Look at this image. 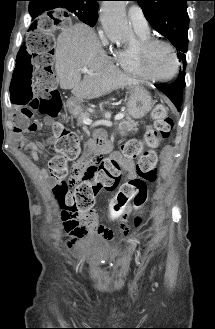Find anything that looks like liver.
Returning <instances> with one entry per match:
<instances>
[{"label":"liver","mask_w":215,"mask_h":329,"mask_svg":"<svg viewBox=\"0 0 215 329\" xmlns=\"http://www.w3.org/2000/svg\"><path fill=\"white\" fill-rule=\"evenodd\" d=\"M87 67L81 80V68ZM55 71L62 89L78 99H94L140 81L119 71L104 55L94 31L83 23L64 29L55 47Z\"/></svg>","instance_id":"liver-1"}]
</instances>
